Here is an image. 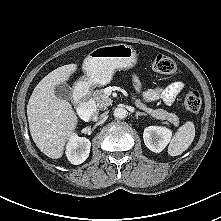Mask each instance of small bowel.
<instances>
[{
  "instance_id": "1",
  "label": "small bowel",
  "mask_w": 221,
  "mask_h": 221,
  "mask_svg": "<svg viewBox=\"0 0 221 221\" xmlns=\"http://www.w3.org/2000/svg\"><path fill=\"white\" fill-rule=\"evenodd\" d=\"M131 79L135 89L141 94V97L145 101L162 100L166 104H171L183 88V84L176 81L164 88L159 87L142 91L138 77L132 75Z\"/></svg>"
}]
</instances>
